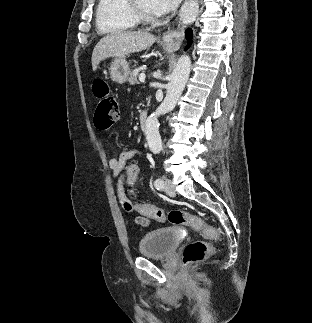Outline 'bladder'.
<instances>
[{
    "mask_svg": "<svg viewBox=\"0 0 312 323\" xmlns=\"http://www.w3.org/2000/svg\"><path fill=\"white\" fill-rule=\"evenodd\" d=\"M180 244L178 230L174 228H157L146 233L139 243V254L149 258L169 256Z\"/></svg>",
    "mask_w": 312,
    "mask_h": 323,
    "instance_id": "bladder-1",
    "label": "bladder"
}]
</instances>
